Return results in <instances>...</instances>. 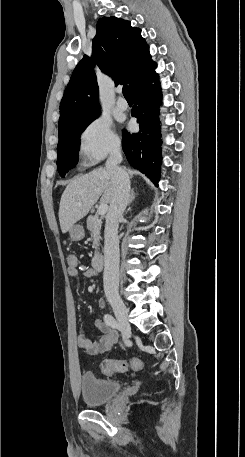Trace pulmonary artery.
<instances>
[{
	"label": "pulmonary artery",
	"instance_id": "obj_1",
	"mask_svg": "<svg viewBox=\"0 0 245 457\" xmlns=\"http://www.w3.org/2000/svg\"><path fill=\"white\" fill-rule=\"evenodd\" d=\"M122 92V89L121 88H118L117 89V93L120 94ZM116 107L119 109V110H126L128 108V103L125 99L123 98H118L117 102H116Z\"/></svg>",
	"mask_w": 245,
	"mask_h": 457
}]
</instances>
